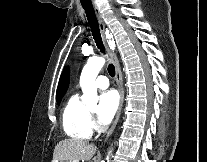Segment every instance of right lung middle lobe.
Returning a JSON list of instances; mask_svg holds the SVG:
<instances>
[{
	"label": "right lung middle lobe",
	"instance_id": "dd1d6c3e",
	"mask_svg": "<svg viewBox=\"0 0 207 162\" xmlns=\"http://www.w3.org/2000/svg\"><path fill=\"white\" fill-rule=\"evenodd\" d=\"M60 100H61V99H58L57 102L60 103Z\"/></svg>",
	"mask_w": 207,
	"mask_h": 162
}]
</instances>
